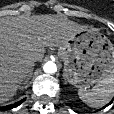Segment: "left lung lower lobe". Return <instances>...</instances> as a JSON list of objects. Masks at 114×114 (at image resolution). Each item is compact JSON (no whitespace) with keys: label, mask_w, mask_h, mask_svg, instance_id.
Here are the masks:
<instances>
[{"label":"left lung lower lobe","mask_w":114,"mask_h":114,"mask_svg":"<svg viewBox=\"0 0 114 114\" xmlns=\"http://www.w3.org/2000/svg\"><path fill=\"white\" fill-rule=\"evenodd\" d=\"M111 103H112V101H111L109 104H111ZM109 104H107L106 106H108ZM106 106H105V107H106ZM105 107H103V108H105Z\"/></svg>","instance_id":"left-lung-lower-lobe-1"}]
</instances>
